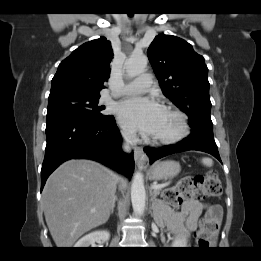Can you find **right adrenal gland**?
I'll return each instance as SVG.
<instances>
[{
	"mask_svg": "<svg viewBox=\"0 0 261 261\" xmlns=\"http://www.w3.org/2000/svg\"><path fill=\"white\" fill-rule=\"evenodd\" d=\"M118 199H117V196H115V198H114V204H113V206H112V208H111V214H113V212H114V208H115V203H116V201H117Z\"/></svg>",
	"mask_w": 261,
	"mask_h": 261,
	"instance_id": "1",
	"label": "right adrenal gland"
}]
</instances>
